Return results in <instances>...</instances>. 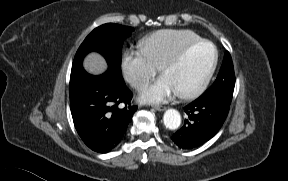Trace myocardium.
<instances>
[{
    "label": "myocardium",
    "instance_id": "obj_1",
    "mask_svg": "<svg viewBox=\"0 0 288 181\" xmlns=\"http://www.w3.org/2000/svg\"><path fill=\"white\" fill-rule=\"evenodd\" d=\"M202 44H209L214 48L215 57H214L212 67L209 70L206 77L197 86H195L189 90L176 92V94L180 98L188 99V98L196 97L206 89V87L210 83V81H211V79H212V77H213V75L217 69V66H218V62H219L218 47L216 46V44L214 42H212L210 40L200 39L198 41L192 42V43L184 46L183 48H181L174 56H172L169 60H167L160 68V73L163 76L168 70H170V69L174 68L175 66H177L178 64H180L190 51H192L194 48H196Z\"/></svg>",
    "mask_w": 288,
    "mask_h": 181
}]
</instances>
